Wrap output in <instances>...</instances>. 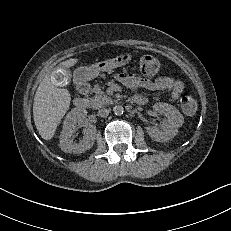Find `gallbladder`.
Returning <instances> with one entry per match:
<instances>
[{"label":"gallbladder","mask_w":231,"mask_h":231,"mask_svg":"<svg viewBox=\"0 0 231 231\" xmlns=\"http://www.w3.org/2000/svg\"><path fill=\"white\" fill-rule=\"evenodd\" d=\"M49 81L54 86H66L71 81V73L62 66H55L49 73Z\"/></svg>","instance_id":"obj_1"}]
</instances>
